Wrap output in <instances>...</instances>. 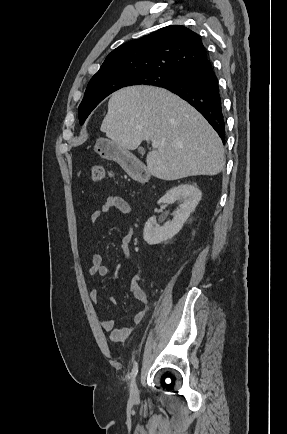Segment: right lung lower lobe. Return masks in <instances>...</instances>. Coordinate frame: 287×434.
Wrapping results in <instances>:
<instances>
[{
	"label": "right lung lower lobe",
	"mask_w": 287,
	"mask_h": 434,
	"mask_svg": "<svg viewBox=\"0 0 287 434\" xmlns=\"http://www.w3.org/2000/svg\"><path fill=\"white\" fill-rule=\"evenodd\" d=\"M195 107L225 143V121L217 77L211 61L188 68L172 85L165 87Z\"/></svg>",
	"instance_id": "1"
}]
</instances>
